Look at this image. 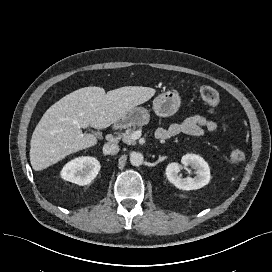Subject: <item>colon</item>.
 I'll return each mask as SVG.
<instances>
[{
  "label": "colon",
  "mask_w": 272,
  "mask_h": 272,
  "mask_svg": "<svg viewBox=\"0 0 272 272\" xmlns=\"http://www.w3.org/2000/svg\"><path fill=\"white\" fill-rule=\"evenodd\" d=\"M199 94L210 111H215L220 106V96L215 88L211 86H201ZM228 158L235 164H242L246 160V154L242 150L234 149L228 152Z\"/></svg>",
  "instance_id": "1"
}]
</instances>
